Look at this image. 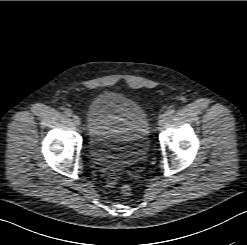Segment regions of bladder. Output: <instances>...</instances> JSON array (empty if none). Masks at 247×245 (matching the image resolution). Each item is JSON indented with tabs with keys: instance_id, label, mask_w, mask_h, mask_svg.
<instances>
[{
	"instance_id": "obj_1",
	"label": "bladder",
	"mask_w": 247,
	"mask_h": 245,
	"mask_svg": "<svg viewBox=\"0 0 247 245\" xmlns=\"http://www.w3.org/2000/svg\"><path fill=\"white\" fill-rule=\"evenodd\" d=\"M88 141L94 162L118 171L137 164L149 147V123L144 110L117 93L98 95L87 109Z\"/></svg>"
}]
</instances>
